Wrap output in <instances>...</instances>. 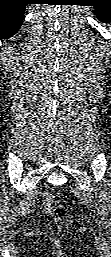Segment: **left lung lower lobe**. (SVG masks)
I'll return each mask as SVG.
<instances>
[{"label":"left lung lower lobe","instance_id":"1","mask_svg":"<svg viewBox=\"0 0 111 257\" xmlns=\"http://www.w3.org/2000/svg\"><path fill=\"white\" fill-rule=\"evenodd\" d=\"M94 7L95 14L100 21H111V0H97Z\"/></svg>","mask_w":111,"mask_h":257}]
</instances>
